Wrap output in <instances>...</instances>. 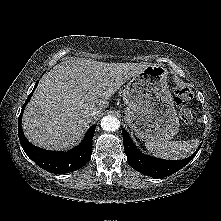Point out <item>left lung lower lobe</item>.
I'll return each mask as SVG.
<instances>
[{"label": "left lung lower lobe", "instance_id": "1", "mask_svg": "<svg viewBox=\"0 0 221 221\" xmlns=\"http://www.w3.org/2000/svg\"><path fill=\"white\" fill-rule=\"evenodd\" d=\"M123 144L127 160L131 167L148 176L162 178L169 176L187 165L196 155L200 147L190 157L183 160L171 161L154 158L142 154L132 142L128 132L123 129Z\"/></svg>", "mask_w": 221, "mask_h": 221}]
</instances>
